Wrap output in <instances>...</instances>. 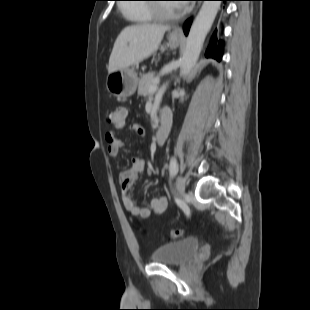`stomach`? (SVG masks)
Returning <instances> with one entry per match:
<instances>
[{"label": "stomach", "mask_w": 310, "mask_h": 310, "mask_svg": "<svg viewBox=\"0 0 310 310\" xmlns=\"http://www.w3.org/2000/svg\"><path fill=\"white\" fill-rule=\"evenodd\" d=\"M169 46L175 48L181 42V38L170 35ZM138 85V76L133 67L116 70L108 74L106 79L107 90L116 97L132 96Z\"/></svg>", "instance_id": "stomach-1"}]
</instances>
